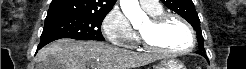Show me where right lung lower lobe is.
<instances>
[{
	"instance_id": "right-lung-lower-lobe-1",
	"label": "right lung lower lobe",
	"mask_w": 246,
	"mask_h": 69,
	"mask_svg": "<svg viewBox=\"0 0 246 69\" xmlns=\"http://www.w3.org/2000/svg\"><path fill=\"white\" fill-rule=\"evenodd\" d=\"M54 40H56V39L41 40L40 43H39V45H38L37 50H39L40 48L44 47L46 44H48V43H50V42H52Z\"/></svg>"
}]
</instances>
